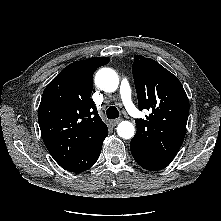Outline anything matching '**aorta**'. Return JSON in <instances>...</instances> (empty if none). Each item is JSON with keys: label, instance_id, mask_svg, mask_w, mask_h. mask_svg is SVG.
I'll return each mask as SVG.
<instances>
[{"label": "aorta", "instance_id": "obj_1", "mask_svg": "<svg viewBox=\"0 0 221 221\" xmlns=\"http://www.w3.org/2000/svg\"><path fill=\"white\" fill-rule=\"evenodd\" d=\"M95 84L105 92H114L119 85L117 73L111 68H101L95 76ZM134 125L129 121H122L117 127V134L123 139L134 136Z\"/></svg>", "mask_w": 221, "mask_h": 221}]
</instances>
